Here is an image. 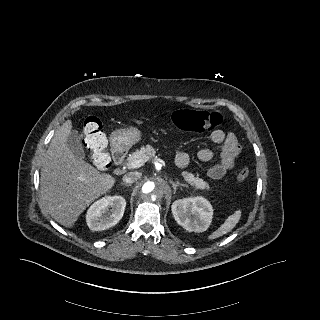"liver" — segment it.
I'll list each match as a JSON object with an SVG mask.
<instances>
[{"mask_svg": "<svg viewBox=\"0 0 320 320\" xmlns=\"http://www.w3.org/2000/svg\"><path fill=\"white\" fill-rule=\"evenodd\" d=\"M71 129L72 121L67 120L56 131L40 174L44 208L65 227H72L86 207L115 184L114 177L100 173L68 148Z\"/></svg>", "mask_w": 320, "mask_h": 320, "instance_id": "liver-1", "label": "liver"}]
</instances>
